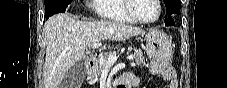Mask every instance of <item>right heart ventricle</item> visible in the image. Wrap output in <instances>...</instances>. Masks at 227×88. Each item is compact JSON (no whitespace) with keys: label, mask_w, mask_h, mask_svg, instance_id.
<instances>
[{"label":"right heart ventricle","mask_w":227,"mask_h":88,"mask_svg":"<svg viewBox=\"0 0 227 88\" xmlns=\"http://www.w3.org/2000/svg\"><path fill=\"white\" fill-rule=\"evenodd\" d=\"M127 0H93V9L103 19L134 23L125 11Z\"/></svg>","instance_id":"right-heart-ventricle-1"}]
</instances>
